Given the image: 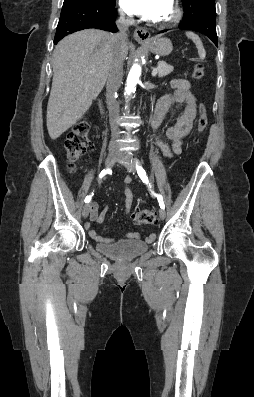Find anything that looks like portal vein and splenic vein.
Returning <instances> with one entry per match:
<instances>
[{
  "label": "portal vein and splenic vein",
  "instance_id": "obj_1",
  "mask_svg": "<svg viewBox=\"0 0 254 397\" xmlns=\"http://www.w3.org/2000/svg\"><path fill=\"white\" fill-rule=\"evenodd\" d=\"M156 74H157V68H155V69L153 70L152 76H155Z\"/></svg>",
  "mask_w": 254,
  "mask_h": 397
}]
</instances>
